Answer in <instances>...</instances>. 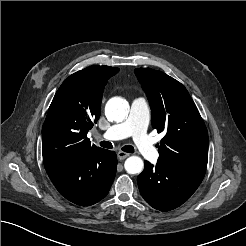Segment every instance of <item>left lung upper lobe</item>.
I'll list each match as a JSON object with an SVG mask.
<instances>
[{
	"mask_svg": "<svg viewBox=\"0 0 246 246\" xmlns=\"http://www.w3.org/2000/svg\"><path fill=\"white\" fill-rule=\"evenodd\" d=\"M135 74L142 84L152 110V126L161 140L158 161H173L206 168L208 132L186 88L167 74L150 68H138Z\"/></svg>",
	"mask_w": 246,
	"mask_h": 246,
	"instance_id": "1",
	"label": "left lung upper lobe"
}]
</instances>
